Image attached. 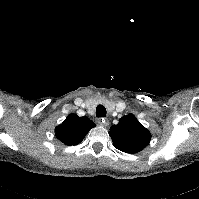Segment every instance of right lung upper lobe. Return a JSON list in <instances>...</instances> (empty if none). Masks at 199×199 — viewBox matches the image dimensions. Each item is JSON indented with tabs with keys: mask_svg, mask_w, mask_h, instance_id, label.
Here are the masks:
<instances>
[{
	"mask_svg": "<svg viewBox=\"0 0 199 199\" xmlns=\"http://www.w3.org/2000/svg\"><path fill=\"white\" fill-rule=\"evenodd\" d=\"M96 125L87 117L70 114L56 127V137L65 145L79 144L89 130Z\"/></svg>",
	"mask_w": 199,
	"mask_h": 199,
	"instance_id": "obj_1",
	"label": "right lung upper lobe"
}]
</instances>
